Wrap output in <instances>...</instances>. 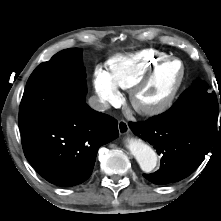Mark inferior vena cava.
Listing matches in <instances>:
<instances>
[{
    "label": "inferior vena cava",
    "instance_id": "602c4592",
    "mask_svg": "<svg viewBox=\"0 0 221 221\" xmlns=\"http://www.w3.org/2000/svg\"><path fill=\"white\" fill-rule=\"evenodd\" d=\"M89 106L99 112H104L105 110L109 109L110 106L107 102L103 101L102 99L98 98L97 96H92L88 100Z\"/></svg>",
    "mask_w": 221,
    "mask_h": 221
}]
</instances>
